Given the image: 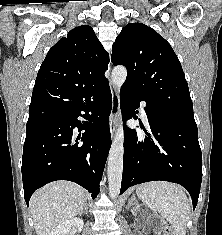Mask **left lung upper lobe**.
Returning <instances> with one entry per match:
<instances>
[{"label":"left lung upper lobe","instance_id":"left-lung-upper-lobe-1","mask_svg":"<svg viewBox=\"0 0 222 235\" xmlns=\"http://www.w3.org/2000/svg\"><path fill=\"white\" fill-rule=\"evenodd\" d=\"M111 61L126 66L124 85L146 102L194 118L180 61L170 44L152 28L142 23L126 25L113 44Z\"/></svg>","mask_w":222,"mask_h":235}]
</instances>
